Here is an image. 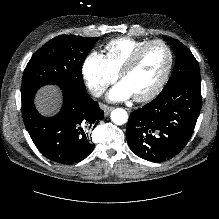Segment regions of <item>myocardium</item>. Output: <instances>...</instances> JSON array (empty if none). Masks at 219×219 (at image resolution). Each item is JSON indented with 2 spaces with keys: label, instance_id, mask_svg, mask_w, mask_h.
I'll return each mask as SVG.
<instances>
[{
  "label": "myocardium",
  "instance_id": "f54148a6",
  "mask_svg": "<svg viewBox=\"0 0 219 219\" xmlns=\"http://www.w3.org/2000/svg\"><path fill=\"white\" fill-rule=\"evenodd\" d=\"M155 44H159L162 45L168 53L169 56V62L167 65V68L165 70V72L163 73L162 77L159 79V81L145 94L142 95H138V96H133V99L135 101L138 102H144V101H148L152 98H154L156 95H158L160 93V91L163 89V87L165 86L172 68H173V64H174V55H173V51L171 49V47L164 41L162 40H151L148 41L145 45H143L142 47H140L139 49H137L127 60L126 62L123 64V66L121 67L119 73H118V77L120 80L123 79L124 75L127 74L139 61V59L141 58V56L143 55V53L152 45Z\"/></svg>",
  "mask_w": 219,
  "mask_h": 219
}]
</instances>
